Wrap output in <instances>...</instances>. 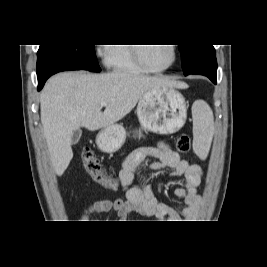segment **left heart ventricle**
I'll return each instance as SVG.
<instances>
[{
  "instance_id": "b2bd125f",
  "label": "left heart ventricle",
  "mask_w": 267,
  "mask_h": 267,
  "mask_svg": "<svg viewBox=\"0 0 267 267\" xmlns=\"http://www.w3.org/2000/svg\"><path fill=\"white\" fill-rule=\"evenodd\" d=\"M142 54L145 61L154 68H162L168 65L173 57L169 44L143 46Z\"/></svg>"
}]
</instances>
